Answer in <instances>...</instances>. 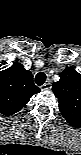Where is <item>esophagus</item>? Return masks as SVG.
Masks as SVG:
<instances>
[{"label": "esophagus", "mask_w": 81, "mask_h": 155, "mask_svg": "<svg viewBox=\"0 0 81 155\" xmlns=\"http://www.w3.org/2000/svg\"><path fill=\"white\" fill-rule=\"evenodd\" d=\"M52 87L51 82H46L41 86V90H50Z\"/></svg>", "instance_id": "obj_1"}]
</instances>
